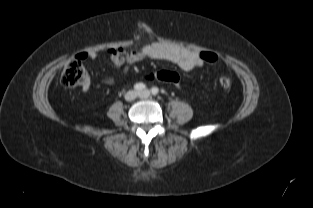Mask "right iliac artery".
I'll return each mask as SVG.
<instances>
[{
    "label": "right iliac artery",
    "mask_w": 313,
    "mask_h": 208,
    "mask_svg": "<svg viewBox=\"0 0 313 208\" xmlns=\"http://www.w3.org/2000/svg\"><path fill=\"white\" fill-rule=\"evenodd\" d=\"M145 88H146V86L143 83H137V84L134 85V89L137 90V91H141V90H143Z\"/></svg>",
    "instance_id": "1"
}]
</instances>
